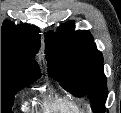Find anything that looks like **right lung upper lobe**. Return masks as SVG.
<instances>
[{
  "instance_id": "obj_1",
  "label": "right lung upper lobe",
  "mask_w": 121,
  "mask_h": 113,
  "mask_svg": "<svg viewBox=\"0 0 121 113\" xmlns=\"http://www.w3.org/2000/svg\"><path fill=\"white\" fill-rule=\"evenodd\" d=\"M39 32L37 27L28 24L14 25L5 21L1 27V64L39 78L41 73L34 60L40 48Z\"/></svg>"
}]
</instances>
